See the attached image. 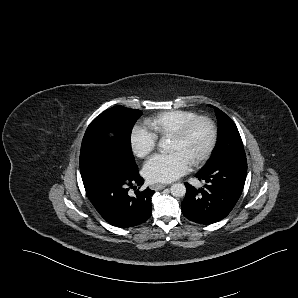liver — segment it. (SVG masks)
I'll list each match as a JSON object with an SVG mask.
<instances>
[{
  "label": "liver",
  "instance_id": "1",
  "mask_svg": "<svg viewBox=\"0 0 298 298\" xmlns=\"http://www.w3.org/2000/svg\"><path fill=\"white\" fill-rule=\"evenodd\" d=\"M117 133H116V131L115 130H107L106 132H105V139H106V141H108V142H114V141H116V139H117Z\"/></svg>",
  "mask_w": 298,
  "mask_h": 298
}]
</instances>
